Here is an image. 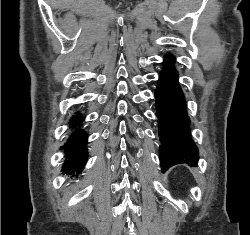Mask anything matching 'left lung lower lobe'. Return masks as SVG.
<instances>
[{"mask_svg": "<svg viewBox=\"0 0 250 235\" xmlns=\"http://www.w3.org/2000/svg\"><path fill=\"white\" fill-rule=\"evenodd\" d=\"M174 61L171 54L165 56L155 91L162 172L175 164L197 165L199 158L189 133V120Z\"/></svg>", "mask_w": 250, "mask_h": 235, "instance_id": "0a47b994", "label": "left lung lower lobe"}]
</instances>
